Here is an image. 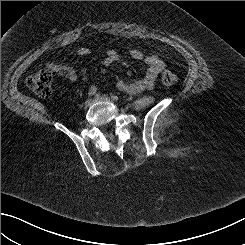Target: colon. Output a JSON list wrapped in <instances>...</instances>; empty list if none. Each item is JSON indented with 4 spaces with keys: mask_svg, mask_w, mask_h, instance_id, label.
Segmentation results:
<instances>
[{
    "mask_svg": "<svg viewBox=\"0 0 245 245\" xmlns=\"http://www.w3.org/2000/svg\"><path fill=\"white\" fill-rule=\"evenodd\" d=\"M176 80V75L171 71H165L161 77L165 86L173 85ZM26 84L38 97L48 98L52 93V74L46 69H40L27 78Z\"/></svg>",
    "mask_w": 245,
    "mask_h": 245,
    "instance_id": "5ec220e1",
    "label": "colon"
}]
</instances>
